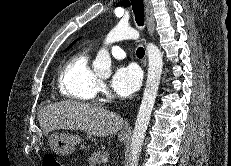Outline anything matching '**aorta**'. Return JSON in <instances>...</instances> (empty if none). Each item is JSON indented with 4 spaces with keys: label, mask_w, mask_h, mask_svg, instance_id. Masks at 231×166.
<instances>
[{
    "label": "aorta",
    "mask_w": 231,
    "mask_h": 166,
    "mask_svg": "<svg viewBox=\"0 0 231 166\" xmlns=\"http://www.w3.org/2000/svg\"><path fill=\"white\" fill-rule=\"evenodd\" d=\"M138 38L139 32L137 30L128 25L119 23L108 33L105 39V45L121 40H137ZM146 51L149 61L148 76L132 134L129 166H138L139 156L157 96L163 68L162 54L158 47L153 43H148L146 44ZM93 69L95 73L101 77H108L111 75V57L106 48L100 49L97 53L93 62Z\"/></svg>",
    "instance_id": "1"
}]
</instances>
